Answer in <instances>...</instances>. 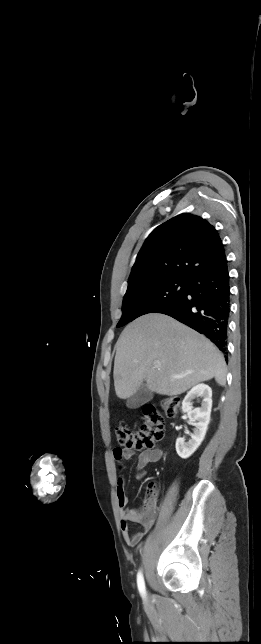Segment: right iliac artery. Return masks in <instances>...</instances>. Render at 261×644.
<instances>
[{
	"mask_svg": "<svg viewBox=\"0 0 261 644\" xmlns=\"http://www.w3.org/2000/svg\"><path fill=\"white\" fill-rule=\"evenodd\" d=\"M137 585L141 596L145 598L146 596L145 582L141 571H139L137 574Z\"/></svg>",
	"mask_w": 261,
	"mask_h": 644,
	"instance_id": "1",
	"label": "right iliac artery"
}]
</instances>
